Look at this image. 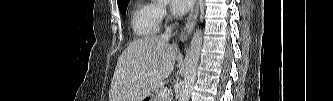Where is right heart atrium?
<instances>
[{
  "label": "right heart atrium",
  "mask_w": 333,
  "mask_h": 101,
  "mask_svg": "<svg viewBox=\"0 0 333 101\" xmlns=\"http://www.w3.org/2000/svg\"><path fill=\"white\" fill-rule=\"evenodd\" d=\"M159 16H160V19H164L168 16V11L164 6L159 7Z\"/></svg>",
  "instance_id": "right-heart-atrium-1"
}]
</instances>
